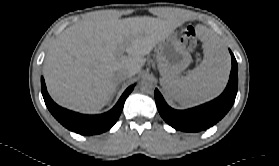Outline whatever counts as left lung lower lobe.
<instances>
[{
	"instance_id": "1",
	"label": "left lung lower lobe",
	"mask_w": 279,
	"mask_h": 166,
	"mask_svg": "<svg viewBox=\"0 0 279 166\" xmlns=\"http://www.w3.org/2000/svg\"><path fill=\"white\" fill-rule=\"evenodd\" d=\"M232 69L228 85L224 92L216 99L201 106L188 110H175L164 101L160 92L155 89V101L162 118L177 130L198 132L216 124L232 107L238 89V67L233 53Z\"/></svg>"
}]
</instances>
